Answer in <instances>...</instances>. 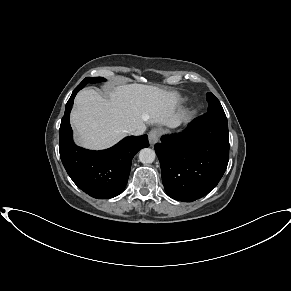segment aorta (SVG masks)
Here are the masks:
<instances>
[{
	"instance_id": "1",
	"label": "aorta",
	"mask_w": 291,
	"mask_h": 291,
	"mask_svg": "<svg viewBox=\"0 0 291 291\" xmlns=\"http://www.w3.org/2000/svg\"><path fill=\"white\" fill-rule=\"evenodd\" d=\"M156 153L153 149L150 148H143L139 153V160L143 164L152 163L155 160Z\"/></svg>"
}]
</instances>
